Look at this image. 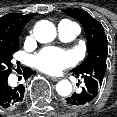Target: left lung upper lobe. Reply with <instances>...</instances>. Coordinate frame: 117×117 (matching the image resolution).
<instances>
[{
    "label": "left lung upper lobe",
    "instance_id": "5c2ea615",
    "mask_svg": "<svg viewBox=\"0 0 117 117\" xmlns=\"http://www.w3.org/2000/svg\"><path fill=\"white\" fill-rule=\"evenodd\" d=\"M64 12L83 25L87 38L88 56L81 65L73 69V73L82 77H91L101 87L107 68L108 53L103 26L84 10L68 8Z\"/></svg>",
    "mask_w": 117,
    "mask_h": 117
}]
</instances>
